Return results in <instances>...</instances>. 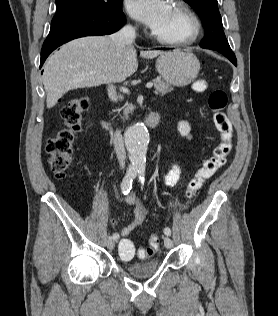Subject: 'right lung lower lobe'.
I'll return each mask as SVG.
<instances>
[{
    "label": "right lung lower lobe",
    "instance_id": "1",
    "mask_svg": "<svg viewBox=\"0 0 278 316\" xmlns=\"http://www.w3.org/2000/svg\"><path fill=\"white\" fill-rule=\"evenodd\" d=\"M125 23L121 0L107 10L85 11L55 18L41 50L40 68L49 54L60 45L84 36L108 35Z\"/></svg>",
    "mask_w": 278,
    "mask_h": 316
}]
</instances>
